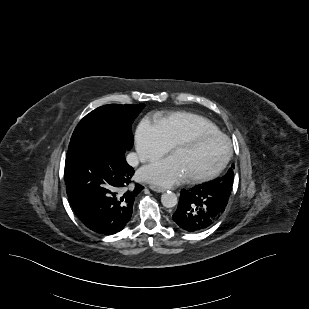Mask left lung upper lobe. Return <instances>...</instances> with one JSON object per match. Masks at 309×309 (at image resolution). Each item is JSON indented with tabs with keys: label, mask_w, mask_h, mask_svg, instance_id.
<instances>
[{
	"label": "left lung upper lobe",
	"mask_w": 309,
	"mask_h": 309,
	"mask_svg": "<svg viewBox=\"0 0 309 309\" xmlns=\"http://www.w3.org/2000/svg\"><path fill=\"white\" fill-rule=\"evenodd\" d=\"M232 167H234V165H232ZM233 179H234V172L233 169L230 168L225 176L208 184L211 186H215L217 188L231 190L233 185Z\"/></svg>",
	"instance_id": "5c2ea615"
}]
</instances>
